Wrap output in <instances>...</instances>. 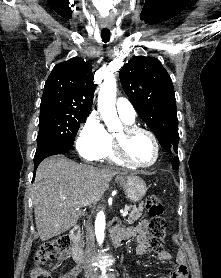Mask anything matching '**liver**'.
<instances>
[{"instance_id":"liver-1","label":"liver","mask_w":221,"mask_h":278,"mask_svg":"<svg viewBox=\"0 0 221 278\" xmlns=\"http://www.w3.org/2000/svg\"><path fill=\"white\" fill-rule=\"evenodd\" d=\"M119 172L80 165L64 156L43 160L36 172L32 201L38 234L46 241L76 225L84 201L98 202Z\"/></svg>"}]
</instances>
